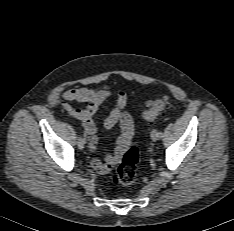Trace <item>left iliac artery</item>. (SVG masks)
<instances>
[{
    "label": "left iliac artery",
    "instance_id": "44dca946",
    "mask_svg": "<svg viewBox=\"0 0 234 231\" xmlns=\"http://www.w3.org/2000/svg\"><path fill=\"white\" fill-rule=\"evenodd\" d=\"M158 135H159V138H162V137H163L162 132H159Z\"/></svg>",
    "mask_w": 234,
    "mask_h": 231
}]
</instances>
